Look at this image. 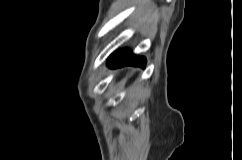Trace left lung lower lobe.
Listing matches in <instances>:
<instances>
[{"label": "left lung lower lobe", "instance_id": "left-lung-lower-lobe-1", "mask_svg": "<svg viewBox=\"0 0 242 160\" xmlns=\"http://www.w3.org/2000/svg\"><path fill=\"white\" fill-rule=\"evenodd\" d=\"M110 67L120 66H140L144 67L146 60L144 57H138L127 50H121L113 53L107 60Z\"/></svg>", "mask_w": 242, "mask_h": 160}]
</instances>
